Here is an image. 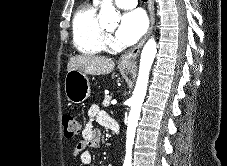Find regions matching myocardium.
Returning a JSON list of instances; mask_svg holds the SVG:
<instances>
[{
    "mask_svg": "<svg viewBox=\"0 0 227 166\" xmlns=\"http://www.w3.org/2000/svg\"><path fill=\"white\" fill-rule=\"evenodd\" d=\"M102 32H103L105 39H107L110 36V32L107 31L105 28H102Z\"/></svg>",
    "mask_w": 227,
    "mask_h": 166,
    "instance_id": "myocardium-1",
    "label": "myocardium"
}]
</instances>
